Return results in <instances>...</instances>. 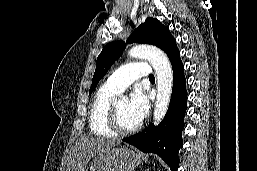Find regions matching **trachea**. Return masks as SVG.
<instances>
[{
	"instance_id": "3493384b",
	"label": "trachea",
	"mask_w": 257,
	"mask_h": 171,
	"mask_svg": "<svg viewBox=\"0 0 257 171\" xmlns=\"http://www.w3.org/2000/svg\"><path fill=\"white\" fill-rule=\"evenodd\" d=\"M149 79H155L154 75L150 74Z\"/></svg>"
}]
</instances>
